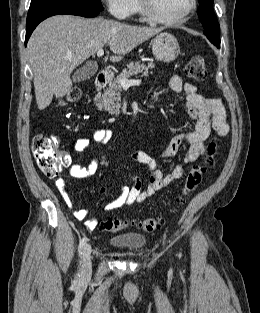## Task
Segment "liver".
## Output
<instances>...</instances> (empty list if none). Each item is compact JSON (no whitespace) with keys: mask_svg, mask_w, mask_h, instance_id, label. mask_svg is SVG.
Listing matches in <instances>:
<instances>
[{"mask_svg":"<svg viewBox=\"0 0 260 313\" xmlns=\"http://www.w3.org/2000/svg\"><path fill=\"white\" fill-rule=\"evenodd\" d=\"M161 31L162 28L127 25L101 17L57 15L44 20L27 45L39 110L49 106L54 96L62 98L68 94L73 70L105 44L114 54L110 61L118 62Z\"/></svg>","mask_w":260,"mask_h":313,"instance_id":"obj_1","label":"liver"}]
</instances>
